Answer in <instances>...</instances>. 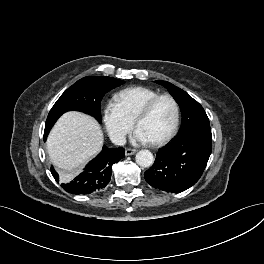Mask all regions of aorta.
Segmentation results:
<instances>
[{
    "label": "aorta",
    "instance_id": "obj_1",
    "mask_svg": "<svg viewBox=\"0 0 264 264\" xmlns=\"http://www.w3.org/2000/svg\"><path fill=\"white\" fill-rule=\"evenodd\" d=\"M153 154L149 150H140L136 154V162L141 167H149L153 164Z\"/></svg>",
    "mask_w": 264,
    "mask_h": 264
}]
</instances>
